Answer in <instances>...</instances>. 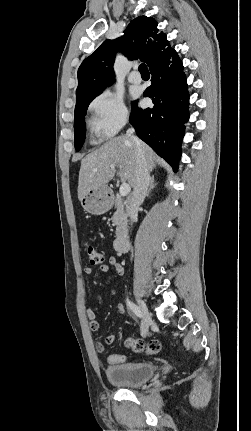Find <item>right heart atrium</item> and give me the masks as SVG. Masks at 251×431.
I'll use <instances>...</instances> for the list:
<instances>
[{"mask_svg":"<svg viewBox=\"0 0 251 431\" xmlns=\"http://www.w3.org/2000/svg\"><path fill=\"white\" fill-rule=\"evenodd\" d=\"M89 125L101 139L114 136L127 123L129 111L121 95L110 91L98 93L89 103Z\"/></svg>","mask_w":251,"mask_h":431,"instance_id":"right-heart-atrium-1","label":"right heart atrium"}]
</instances>
